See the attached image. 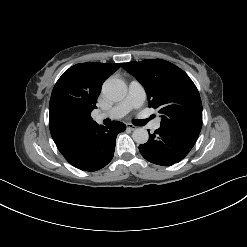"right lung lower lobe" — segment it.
I'll use <instances>...</instances> for the list:
<instances>
[{"label":"right lung lower lobe","instance_id":"right-lung-lower-lobe-1","mask_svg":"<svg viewBox=\"0 0 247 247\" xmlns=\"http://www.w3.org/2000/svg\"><path fill=\"white\" fill-rule=\"evenodd\" d=\"M125 128L118 121L111 122L107 127L95 123L61 153L71 165L80 170H99L112 160L117 134Z\"/></svg>","mask_w":247,"mask_h":247}]
</instances>
